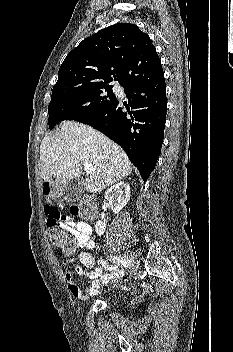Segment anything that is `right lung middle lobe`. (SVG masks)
<instances>
[{"label": "right lung middle lobe", "mask_w": 233, "mask_h": 352, "mask_svg": "<svg viewBox=\"0 0 233 352\" xmlns=\"http://www.w3.org/2000/svg\"><path fill=\"white\" fill-rule=\"evenodd\" d=\"M113 86L92 85L52 91L48 107L49 128L64 120H75L92 116L114 103L117 99ZM104 91L107 94H104Z\"/></svg>", "instance_id": "dd1d6c3e"}]
</instances>
